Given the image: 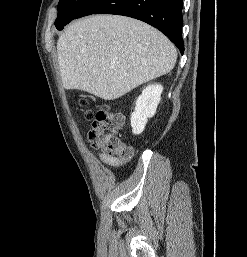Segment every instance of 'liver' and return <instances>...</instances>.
I'll return each instance as SVG.
<instances>
[{
  "label": "liver",
  "instance_id": "1",
  "mask_svg": "<svg viewBox=\"0 0 247 257\" xmlns=\"http://www.w3.org/2000/svg\"><path fill=\"white\" fill-rule=\"evenodd\" d=\"M65 89L114 100L169 73L177 51L154 27L125 16L94 15L70 24L57 41Z\"/></svg>",
  "mask_w": 247,
  "mask_h": 257
}]
</instances>
